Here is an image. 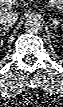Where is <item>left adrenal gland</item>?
<instances>
[{"instance_id": "obj_1", "label": "left adrenal gland", "mask_w": 63, "mask_h": 107, "mask_svg": "<svg viewBox=\"0 0 63 107\" xmlns=\"http://www.w3.org/2000/svg\"><path fill=\"white\" fill-rule=\"evenodd\" d=\"M49 18L54 24V29L57 30L59 25L61 24L60 21L57 18H52L51 15H49Z\"/></svg>"}]
</instances>
